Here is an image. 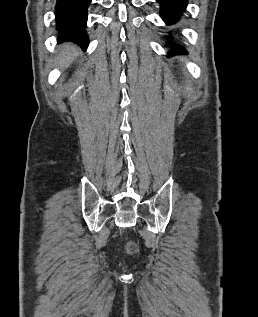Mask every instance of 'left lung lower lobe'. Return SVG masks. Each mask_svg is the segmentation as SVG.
Returning <instances> with one entry per match:
<instances>
[{
  "mask_svg": "<svg viewBox=\"0 0 258 317\" xmlns=\"http://www.w3.org/2000/svg\"><path fill=\"white\" fill-rule=\"evenodd\" d=\"M160 4V15L168 25L178 22L179 18L186 10L188 0H156ZM185 50L175 45L170 54L183 53Z\"/></svg>",
  "mask_w": 258,
  "mask_h": 317,
  "instance_id": "0a47b994",
  "label": "left lung lower lobe"
}]
</instances>
